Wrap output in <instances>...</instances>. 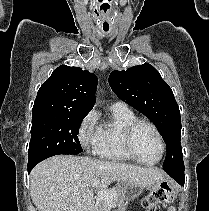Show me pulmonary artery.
<instances>
[{
  "mask_svg": "<svg viewBox=\"0 0 209 211\" xmlns=\"http://www.w3.org/2000/svg\"><path fill=\"white\" fill-rule=\"evenodd\" d=\"M111 110L115 111H127L129 110L128 106L121 101L114 102L110 105Z\"/></svg>",
  "mask_w": 209,
  "mask_h": 211,
  "instance_id": "e3ab8cb5",
  "label": "pulmonary artery"
}]
</instances>
